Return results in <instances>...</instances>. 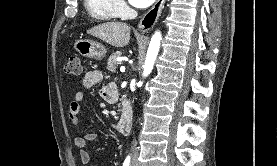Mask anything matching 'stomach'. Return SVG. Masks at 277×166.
I'll return each mask as SVG.
<instances>
[{"mask_svg": "<svg viewBox=\"0 0 277 166\" xmlns=\"http://www.w3.org/2000/svg\"><path fill=\"white\" fill-rule=\"evenodd\" d=\"M74 49L80 55L96 60H102L106 55V49L101 43L89 39L76 40Z\"/></svg>", "mask_w": 277, "mask_h": 166, "instance_id": "1", "label": "stomach"}]
</instances>
